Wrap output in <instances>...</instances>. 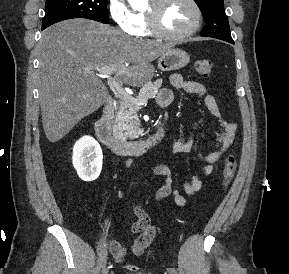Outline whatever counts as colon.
I'll return each mask as SVG.
<instances>
[{"label":"colon","mask_w":289,"mask_h":274,"mask_svg":"<svg viewBox=\"0 0 289 274\" xmlns=\"http://www.w3.org/2000/svg\"><path fill=\"white\" fill-rule=\"evenodd\" d=\"M213 62L210 59H200L195 62V70L199 76L207 78L213 71ZM237 169V160L234 154H228L223 163L222 170V186L226 187L234 178ZM125 268L131 272H136L138 266L134 264H128Z\"/></svg>","instance_id":"colon-1"}]
</instances>
